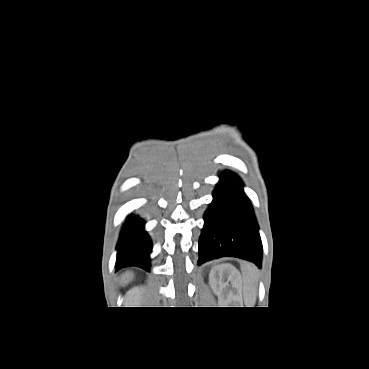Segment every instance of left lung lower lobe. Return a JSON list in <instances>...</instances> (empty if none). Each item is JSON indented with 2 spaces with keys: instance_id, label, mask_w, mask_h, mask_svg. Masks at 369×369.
<instances>
[{
  "instance_id": "obj_1",
  "label": "left lung lower lobe",
  "mask_w": 369,
  "mask_h": 369,
  "mask_svg": "<svg viewBox=\"0 0 369 369\" xmlns=\"http://www.w3.org/2000/svg\"><path fill=\"white\" fill-rule=\"evenodd\" d=\"M204 221L199 239L198 265L229 256L254 262L261 267L262 243L258 224L237 175L230 171L220 175Z\"/></svg>"
}]
</instances>
